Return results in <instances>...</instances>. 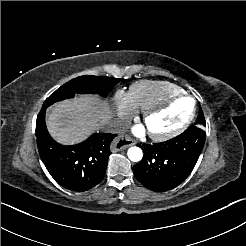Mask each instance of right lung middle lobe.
<instances>
[{
  "label": "right lung middle lobe",
  "mask_w": 246,
  "mask_h": 246,
  "mask_svg": "<svg viewBox=\"0 0 246 246\" xmlns=\"http://www.w3.org/2000/svg\"><path fill=\"white\" fill-rule=\"evenodd\" d=\"M121 79L105 76H80L70 80L55 92H53L44 102L42 108H47L51 104L64 99L72 98L78 94H99L106 97L110 88L117 84Z\"/></svg>",
  "instance_id": "1"
}]
</instances>
